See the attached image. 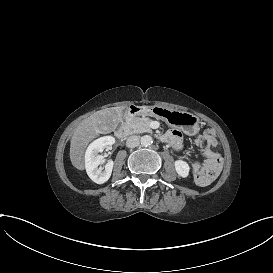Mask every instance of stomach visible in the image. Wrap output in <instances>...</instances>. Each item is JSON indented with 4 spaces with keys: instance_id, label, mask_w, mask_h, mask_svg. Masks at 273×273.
<instances>
[{
    "instance_id": "stomach-1",
    "label": "stomach",
    "mask_w": 273,
    "mask_h": 273,
    "mask_svg": "<svg viewBox=\"0 0 273 273\" xmlns=\"http://www.w3.org/2000/svg\"><path fill=\"white\" fill-rule=\"evenodd\" d=\"M141 113L146 116L161 119L168 126L182 130L186 135H196L199 128V118L189 112L168 109L160 105L144 106Z\"/></svg>"
}]
</instances>
